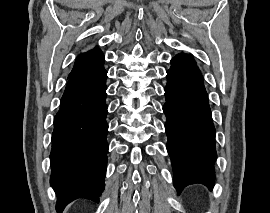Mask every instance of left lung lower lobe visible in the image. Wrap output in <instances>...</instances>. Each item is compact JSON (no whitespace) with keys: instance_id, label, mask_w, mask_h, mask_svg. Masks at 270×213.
<instances>
[{"instance_id":"1","label":"left lung lower lobe","mask_w":270,"mask_h":213,"mask_svg":"<svg viewBox=\"0 0 270 213\" xmlns=\"http://www.w3.org/2000/svg\"><path fill=\"white\" fill-rule=\"evenodd\" d=\"M165 87L167 151L178 193L191 184L214 186L215 127L203 78L196 65H172Z\"/></svg>"}]
</instances>
